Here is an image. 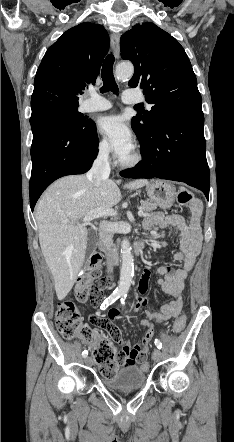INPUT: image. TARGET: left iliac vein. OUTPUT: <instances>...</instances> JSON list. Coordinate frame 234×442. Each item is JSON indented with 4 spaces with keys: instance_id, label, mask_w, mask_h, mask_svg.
I'll return each instance as SVG.
<instances>
[{
    "instance_id": "1",
    "label": "left iliac vein",
    "mask_w": 234,
    "mask_h": 442,
    "mask_svg": "<svg viewBox=\"0 0 234 442\" xmlns=\"http://www.w3.org/2000/svg\"><path fill=\"white\" fill-rule=\"evenodd\" d=\"M162 357V353L159 349H155L153 354H152V358L155 362H158L161 360Z\"/></svg>"
}]
</instances>
